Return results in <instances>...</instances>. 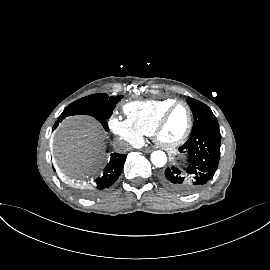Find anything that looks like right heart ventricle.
I'll use <instances>...</instances> for the list:
<instances>
[{"label": "right heart ventricle", "mask_w": 270, "mask_h": 270, "mask_svg": "<svg viewBox=\"0 0 270 270\" xmlns=\"http://www.w3.org/2000/svg\"><path fill=\"white\" fill-rule=\"evenodd\" d=\"M175 99L133 101L124 106L127 120L142 134L152 136L154 127L162 113Z\"/></svg>", "instance_id": "1"}]
</instances>
